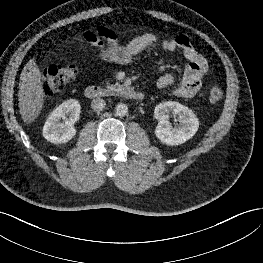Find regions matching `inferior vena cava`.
Here are the masks:
<instances>
[{"label":"inferior vena cava","mask_w":263,"mask_h":263,"mask_svg":"<svg viewBox=\"0 0 263 263\" xmlns=\"http://www.w3.org/2000/svg\"><path fill=\"white\" fill-rule=\"evenodd\" d=\"M105 101L101 98L93 99L91 102V108L94 111H102L105 108Z\"/></svg>","instance_id":"obj_1"}]
</instances>
